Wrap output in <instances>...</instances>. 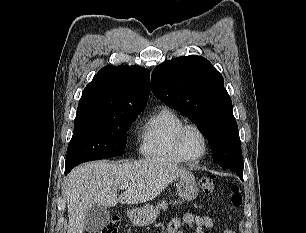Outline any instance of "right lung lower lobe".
Returning a JSON list of instances; mask_svg holds the SVG:
<instances>
[{
	"label": "right lung lower lobe",
	"instance_id": "1",
	"mask_svg": "<svg viewBox=\"0 0 306 233\" xmlns=\"http://www.w3.org/2000/svg\"><path fill=\"white\" fill-rule=\"evenodd\" d=\"M71 169L65 167V173L70 172Z\"/></svg>",
	"mask_w": 306,
	"mask_h": 233
}]
</instances>
